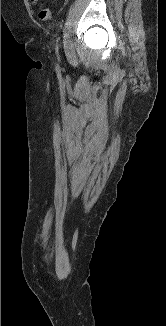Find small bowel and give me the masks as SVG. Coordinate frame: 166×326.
I'll return each mask as SVG.
<instances>
[{
  "label": "small bowel",
  "mask_w": 166,
  "mask_h": 326,
  "mask_svg": "<svg viewBox=\"0 0 166 326\" xmlns=\"http://www.w3.org/2000/svg\"><path fill=\"white\" fill-rule=\"evenodd\" d=\"M32 3H33L34 5H36V4H37V0H32Z\"/></svg>",
  "instance_id": "small-bowel-1"
}]
</instances>
